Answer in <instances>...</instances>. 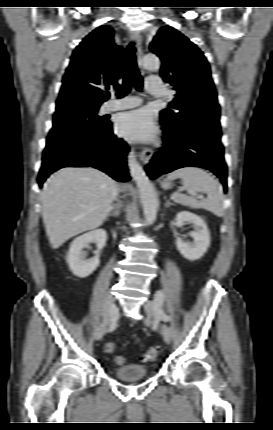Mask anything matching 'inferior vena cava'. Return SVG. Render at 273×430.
<instances>
[{
  "label": "inferior vena cava",
  "instance_id": "1",
  "mask_svg": "<svg viewBox=\"0 0 273 430\" xmlns=\"http://www.w3.org/2000/svg\"><path fill=\"white\" fill-rule=\"evenodd\" d=\"M117 195H118V188L115 187L112 193V199L116 200Z\"/></svg>",
  "mask_w": 273,
  "mask_h": 430
}]
</instances>
